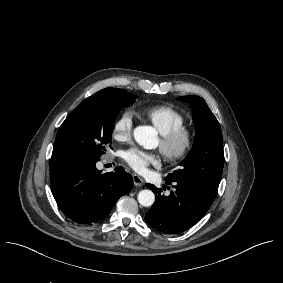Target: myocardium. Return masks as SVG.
I'll return each mask as SVG.
<instances>
[{"label": "myocardium", "instance_id": "f54148a6", "mask_svg": "<svg viewBox=\"0 0 283 283\" xmlns=\"http://www.w3.org/2000/svg\"><path fill=\"white\" fill-rule=\"evenodd\" d=\"M195 140V132L191 127L179 126L162 135L160 150L166 161L177 164L188 158L195 146Z\"/></svg>", "mask_w": 283, "mask_h": 283}]
</instances>
